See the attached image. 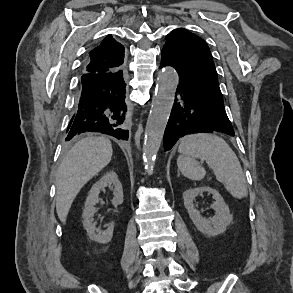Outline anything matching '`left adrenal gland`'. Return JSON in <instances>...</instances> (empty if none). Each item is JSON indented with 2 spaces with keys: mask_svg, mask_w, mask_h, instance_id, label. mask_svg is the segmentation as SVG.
<instances>
[{
  "mask_svg": "<svg viewBox=\"0 0 293 293\" xmlns=\"http://www.w3.org/2000/svg\"><path fill=\"white\" fill-rule=\"evenodd\" d=\"M178 177L180 176V172H179V170H178V175H177Z\"/></svg>",
  "mask_w": 293,
  "mask_h": 293,
  "instance_id": "a2214340",
  "label": "left adrenal gland"
}]
</instances>
